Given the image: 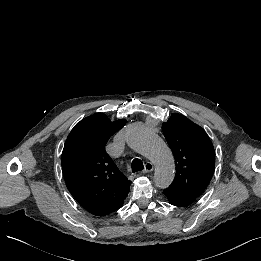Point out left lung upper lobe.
Wrapping results in <instances>:
<instances>
[{"instance_id": "5c2ea615", "label": "left lung upper lobe", "mask_w": 261, "mask_h": 261, "mask_svg": "<svg viewBox=\"0 0 261 261\" xmlns=\"http://www.w3.org/2000/svg\"><path fill=\"white\" fill-rule=\"evenodd\" d=\"M162 126L176 161V175L169 188L196 199L214 172L212 142L200 126L181 114L173 113Z\"/></svg>"}]
</instances>
